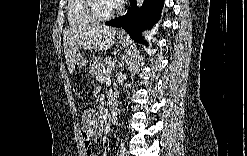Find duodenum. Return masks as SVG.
Masks as SVG:
<instances>
[{
	"label": "duodenum",
	"mask_w": 247,
	"mask_h": 156,
	"mask_svg": "<svg viewBox=\"0 0 247 156\" xmlns=\"http://www.w3.org/2000/svg\"><path fill=\"white\" fill-rule=\"evenodd\" d=\"M119 111L118 108L113 106L110 111V119L116 121L118 119Z\"/></svg>",
	"instance_id": "duodenum-1"
}]
</instances>
